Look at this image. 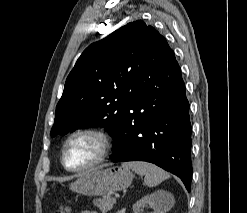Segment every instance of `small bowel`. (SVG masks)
<instances>
[{"label": "small bowel", "mask_w": 247, "mask_h": 213, "mask_svg": "<svg viewBox=\"0 0 247 213\" xmlns=\"http://www.w3.org/2000/svg\"><path fill=\"white\" fill-rule=\"evenodd\" d=\"M80 213H97V212L84 210V211H81Z\"/></svg>", "instance_id": "c3829d8e"}]
</instances>
